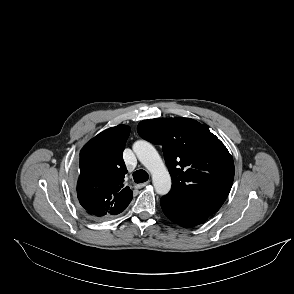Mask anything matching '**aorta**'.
<instances>
[{
	"instance_id": "aorta-1",
	"label": "aorta",
	"mask_w": 294,
	"mask_h": 294,
	"mask_svg": "<svg viewBox=\"0 0 294 294\" xmlns=\"http://www.w3.org/2000/svg\"><path fill=\"white\" fill-rule=\"evenodd\" d=\"M139 161L150 171L155 191L165 195L171 188V177L156 149L147 141L139 140L133 145Z\"/></svg>"
}]
</instances>
